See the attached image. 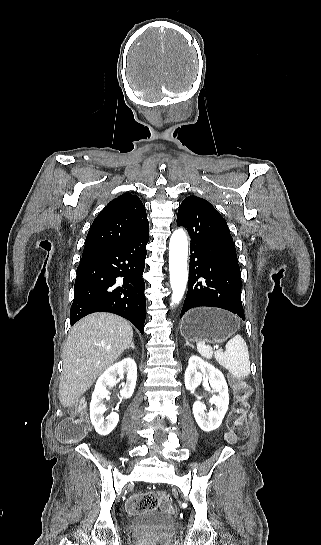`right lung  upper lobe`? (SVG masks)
I'll list each match as a JSON object with an SVG mask.
<instances>
[{"label":"right lung upper lobe","mask_w":321,"mask_h":545,"mask_svg":"<svg viewBox=\"0 0 321 545\" xmlns=\"http://www.w3.org/2000/svg\"><path fill=\"white\" fill-rule=\"evenodd\" d=\"M148 230L144 205L136 195L125 193L109 202L95 218L83 254L123 244Z\"/></svg>","instance_id":"right-lung-upper-lobe-1"}]
</instances>
